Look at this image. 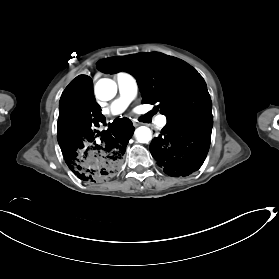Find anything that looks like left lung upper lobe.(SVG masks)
Segmentation results:
<instances>
[{"mask_svg": "<svg viewBox=\"0 0 279 279\" xmlns=\"http://www.w3.org/2000/svg\"><path fill=\"white\" fill-rule=\"evenodd\" d=\"M104 73L125 71L137 79L143 103L158 104L167 124L211 122L212 103L206 83L186 62L163 53L117 56L97 62Z\"/></svg>", "mask_w": 279, "mask_h": 279, "instance_id": "5c2ea615", "label": "left lung upper lobe"}]
</instances>
